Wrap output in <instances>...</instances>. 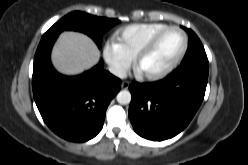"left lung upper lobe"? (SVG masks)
Masks as SVG:
<instances>
[{
  "label": "left lung upper lobe",
  "instance_id": "5c2ea615",
  "mask_svg": "<svg viewBox=\"0 0 248 165\" xmlns=\"http://www.w3.org/2000/svg\"><path fill=\"white\" fill-rule=\"evenodd\" d=\"M183 29L188 33L189 37L188 49L183 61H186L196 55L206 54L198 36L191 29L185 27H183Z\"/></svg>",
  "mask_w": 248,
  "mask_h": 165
}]
</instances>
